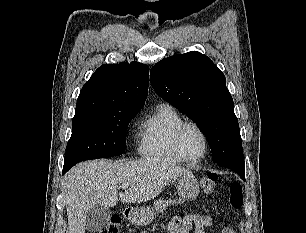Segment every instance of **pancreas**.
I'll use <instances>...</instances> for the list:
<instances>
[{
  "mask_svg": "<svg viewBox=\"0 0 306 233\" xmlns=\"http://www.w3.org/2000/svg\"><path fill=\"white\" fill-rule=\"evenodd\" d=\"M180 201L177 200H173V199H159L155 201V211L156 213H160L163 212L164 210H166V208L168 206L174 205V204H179Z\"/></svg>",
  "mask_w": 306,
  "mask_h": 233,
  "instance_id": "obj_1",
  "label": "pancreas"
}]
</instances>
